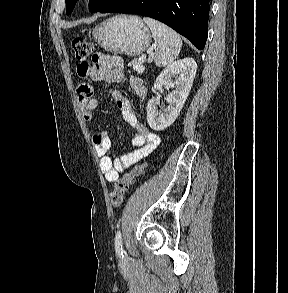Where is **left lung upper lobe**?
Returning a JSON list of instances; mask_svg holds the SVG:
<instances>
[{
	"label": "left lung upper lobe",
	"instance_id": "left-lung-upper-lobe-1",
	"mask_svg": "<svg viewBox=\"0 0 288 293\" xmlns=\"http://www.w3.org/2000/svg\"><path fill=\"white\" fill-rule=\"evenodd\" d=\"M116 1L117 0H90L89 8L91 12H97V11L100 12ZM65 2H66V14L69 15L71 14L77 0H65Z\"/></svg>",
	"mask_w": 288,
	"mask_h": 293
}]
</instances>
